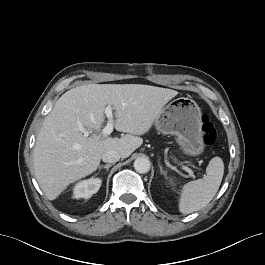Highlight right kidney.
Here are the masks:
<instances>
[{
    "label": "right kidney",
    "mask_w": 265,
    "mask_h": 265,
    "mask_svg": "<svg viewBox=\"0 0 265 265\" xmlns=\"http://www.w3.org/2000/svg\"><path fill=\"white\" fill-rule=\"evenodd\" d=\"M101 183L102 181L100 178H93V177L78 182L73 188V198L75 199L90 198L93 194H95L99 190Z\"/></svg>",
    "instance_id": "ca27d5eb"
}]
</instances>
